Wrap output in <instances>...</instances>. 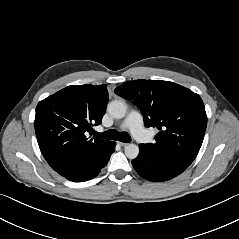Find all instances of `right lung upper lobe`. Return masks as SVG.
Returning a JSON list of instances; mask_svg holds the SVG:
<instances>
[{
  "label": "right lung upper lobe",
  "instance_id": "1",
  "mask_svg": "<svg viewBox=\"0 0 239 239\" xmlns=\"http://www.w3.org/2000/svg\"><path fill=\"white\" fill-rule=\"evenodd\" d=\"M106 85H72L40 101L36 107L35 133L40 151L59 174L79 160H93L110 141L89 138L101 124L108 91Z\"/></svg>",
  "mask_w": 239,
  "mask_h": 239
}]
</instances>
